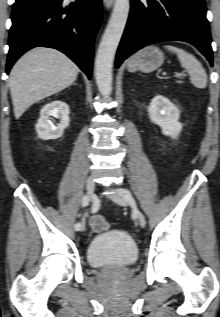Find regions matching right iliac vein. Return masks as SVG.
Here are the masks:
<instances>
[{"instance_id":"63e3f726","label":"right iliac vein","mask_w":220,"mask_h":317,"mask_svg":"<svg viewBox=\"0 0 220 317\" xmlns=\"http://www.w3.org/2000/svg\"><path fill=\"white\" fill-rule=\"evenodd\" d=\"M94 188H95L94 178L93 177H88L87 180H86V190H87V192H88L90 197L93 194ZM84 228H85V220H83L81 222L80 230L82 231V230H84Z\"/></svg>"}]
</instances>
